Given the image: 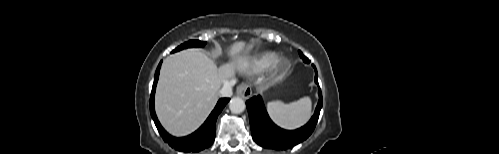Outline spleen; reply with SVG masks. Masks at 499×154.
I'll return each mask as SVG.
<instances>
[{
  "mask_svg": "<svg viewBox=\"0 0 499 154\" xmlns=\"http://www.w3.org/2000/svg\"><path fill=\"white\" fill-rule=\"evenodd\" d=\"M311 99L303 97L291 103L272 101L267 110L272 120L286 129H295L305 124L311 116Z\"/></svg>",
  "mask_w": 499,
  "mask_h": 154,
  "instance_id": "obj_1",
  "label": "spleen"
}]
</instances>
